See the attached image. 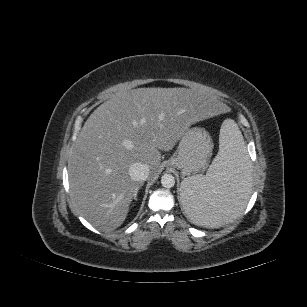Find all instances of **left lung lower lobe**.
Returning a JSON list of instances; mask_svg holds the SVG:
<instances>
[{"mask_svg":"<svg viewBox=\"0 0 307 307\" xmlns=\"http://www.w3.org/2000/svg\"><path fill=\"white\" fill-rule=\"evenodd\" d=\"M236 208H237V204L235 203L234 200H227L220 206L219 209L214 210V212L215 214L226 216V215L232 214L236 210Z\"/></svg>","mask_w":307,"mask_h":307,"instance_id":"1","label":"left lung lower lobe"}]
</instances>
